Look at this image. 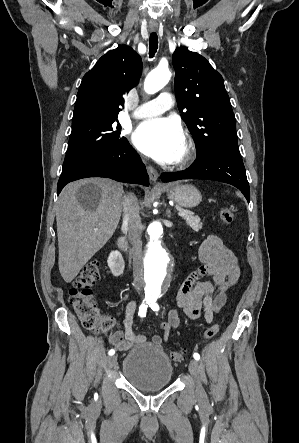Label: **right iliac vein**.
I'll return each mask as SVG.
<instances>
[{
    "instance_id": "obj_1",
    "label": "right iliac vein",
    "mask_w": 299,
    "mask_h": 443,
    "mask_svg": "<svg viewBox=\"0 0 299 443\" xmlns=\"http://www.w3.org/2000/svg\"><path fill=\"white\" fill-rule=\"evenodd\" d=\"M116 360H117L116 355L109 357L107 360L108 366H110V367L113 366L115 364Z\"/></svg>"
}]
</instances>
